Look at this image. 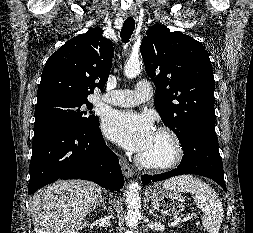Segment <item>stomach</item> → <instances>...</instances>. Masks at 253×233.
I'll return each mask as SVG.
<instances>
[{"label":"stomach","instance_id":"obj_1","mask_svg":"<svg viewBox=\"0 0 253 233\" xmlns=\"http://www.w3.org/2000/svg\"><path fill=\"white\" fill-rule=\"evenodd\" d=\"M150 193L152 206L162 215L176 216L185 208L184 199L176 190L153 187Z\"/></svg>","mask_w":253,"mask_h":233}]
</instances>
